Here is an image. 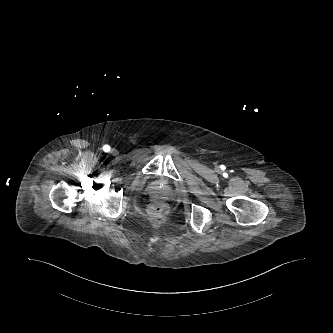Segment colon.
I'll return each mask as SVG.
<instances>
[{"mask_svg":"<svg viewBox=\"0 0 333 333\" xmlns=\"http://www.w3.org/2000/svg\"><path fill=\"white\" fill-rule=\"evenodd\" d=\"M166 211V206L164 204H156L151 208V212L155 216H160Z\"/></svg>","mask_w":333,"mask_h":333,"instance_id":"1","label":"colon"}]
</instances>
